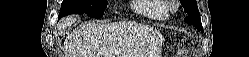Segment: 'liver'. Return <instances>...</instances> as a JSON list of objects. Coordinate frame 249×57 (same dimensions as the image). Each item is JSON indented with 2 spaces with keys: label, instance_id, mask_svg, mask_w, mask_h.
I'll return each instance as SVG.
<instances>
[{
  "label": "liver",
  "instance_id": "6515ba94",
  "mask_svg": "<svg viewBox=\"0 0 249 57\" xmlns=\"http://www.w3.org/2000/svg\"><path fill=\"white\" fill-rule=\"evenodd\" d=\"M77 17H68L71 25ZM160 34L153 28L132 22L88 23L68 37L71 57H141L148 49L160 51Z\"/></svg>",
  "mask_w": 249,
  "mask_h": 57
}]
</instances>
